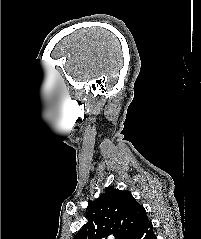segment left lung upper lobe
Segmentation results:
<instances>
[{"label":"left lung upper lobe","mask_w":201,"mask_h":239,"mask_svg":"<svg viewBox=\"0 0 201 239\" xmlns=\"http://www.w3.org/2000/svg\"><path fill=\"white\" fill-rule=\"evenodd\" d=\"M87 224L73 239H116L130 236L148 221L146 211L129 191L109 187L91 204Z\"/></svg>","instance_id":"1"}]
</instances>
